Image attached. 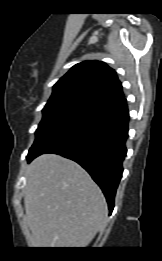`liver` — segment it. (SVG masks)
<instances>
[{
  "mask_svg": "<svg viewBox=\"0 0 162 261\" xmlns=\"http://www.w3.org/2000/svg\"><path fill=\"white\" fill-rule=\"evenodd\" d=\"M25 219L32 246L84 248L103 228L105 198L89 174L55 154L36 158L26 172Z\"/></svg>",
  "mask_w": 162,
  "mask_h": 261,
  "instance_id": "6515ba94",
  "label": "liver"
}]
</instances>
